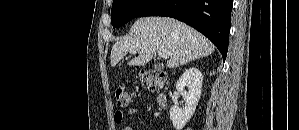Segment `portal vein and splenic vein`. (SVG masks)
Returning <instances> with one entry per match:
<instances>
[{"label": "portal vein and splenic vein", "mask_w": 299, "mask_h": 130, "mask_svg": "<svg viewBox=\"0 0 299 130\" xmlns=\"http://www.w3.org/2000/svg\"><path fill=\"white\" fill-rule=\"evenodd\" d=\"M158 55L163 59H168L171 56V52L168 51L167 49H159Z\"/></svg>", "instance_id": "portal-vein-and-splenic-vein-1"}]
</instances>
